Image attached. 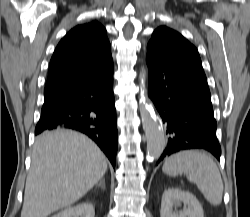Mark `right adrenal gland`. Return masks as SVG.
I'll return each mask as SVG.
<instances>
[{
  "label": "right adrenal gland",
  "mask_w": 250,
  "mask_h": 217,
  "mask_svg": "<svg viewBox=\"0 0 250 217\" xmlns=\"http://www.w3.org/2000/svg\"><path fill=\"white\" fill-rule=\"evenodd\" d=\"M97 186H100L103 189H105V181H104V179L100 180V182L97 184Z\"/></svg>",
  "instance_id": "right-adrenal-gland-1"
}]
</instances>
